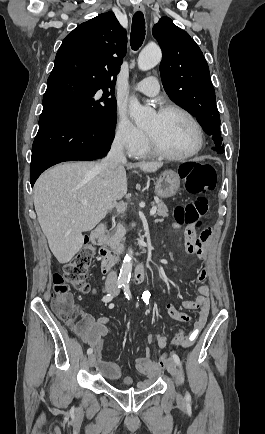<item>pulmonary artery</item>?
Listing matches in <instances>:
<instances>
[{"label": "pulmonary artery", "instance_id": "1", "mask_svg": "<svg viewBox=\"0 0 265 434\" xmlns=\"http://www.w3.org/2000/svg\"><path fill=\"white\" fill-rule=\"evenodd\" d=\"M159 81L157 77L150 76L145 79L136 86L133 87V89L138 90L144 94H148L149 96H157L159 93Z\"/></svg>", "mask_w": 265, "mask_h": 434}]
</instances>
